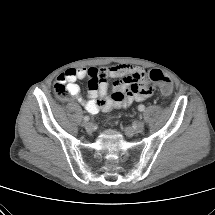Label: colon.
Returning a JSON list of instances; mask_svg holds the SVG:
<instances>
[{"label": "colon", "mask_w": 215, "mask_h": 215, "mask_svg": "<svg viewBox=\"0 0 215 215\" xmlns=\"http://www.w3.org/2000/svg\"><path fill=\"white\" fill-rule=\"evenodd\" d=\"M149 79L152 82L158 84L160 86L161 91L164 94H169L171 92V89H172L171 80L162 71H160L158 69L151 70L150 73H149ZM133 90L137 91L138 88L134 87ZM148 92H152L151 89ZM54 93H55L56 97L58 99H60V100L67 99V97L69 95L67 86L65 85V83H63L61 81H57L55 83V85H54Z\"/></svg>", "instance_id": "5ec220e1"}]
</instances>
